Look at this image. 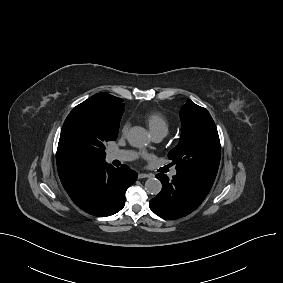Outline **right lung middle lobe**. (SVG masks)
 Segmentation results:
<instances>
[{
    "instance_id": "dd1d6c3e",
    "label": "right lung middle lobe",
    "mask_w": 283,
    "mask_h": 283,
    "mask_svg": "<svg viewBox=\"0 0 283 283\" xmlns=\"http://www.w3.org/2000/svg\"><path fill=\"white\" fill-rule=\"evenodd\" d=\"M122 99L90 97L67 116L60 134L57 165L89 168L105 162L108 141L117 138Z\"/></svg>"
}]
</instances>
